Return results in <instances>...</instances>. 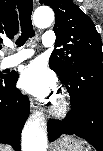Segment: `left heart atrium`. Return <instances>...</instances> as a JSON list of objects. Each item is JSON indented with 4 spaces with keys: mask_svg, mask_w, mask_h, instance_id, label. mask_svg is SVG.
Here are the masks:
<instances>
[{
    "mask_svg": "<svg viewBox=\"0 0 103 151\" xmlns=\"http://www.w3.org/2000/svg\"><path fill=\"white\" fill-rule=\"evenodd\" d=\"M19 84L28 94L44 99L54 93L56 80L54 75L47 69L45 63L36 60L22 70Z\"/></svg>",
    "mask_w": 103,
    "mask_h": 151,
    "instance_id": "39dd6f15",
    "label": "left heart atrium"
}]
</instances>
